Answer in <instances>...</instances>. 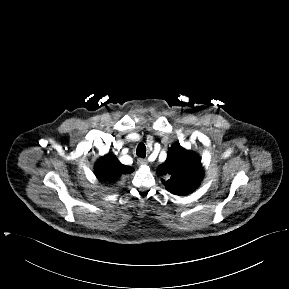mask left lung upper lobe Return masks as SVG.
Instances as JSON below:
<instances>
[{
  "label": "left lung upper lobe",
  "instance_id": "obj_1",
  "mask_svg": "<svg viewBox=\"0 0 289 289\" xmlns=\"http://www.w3.org/2000/svg\"><path fill=\"white\" fill-rule=\"evenodd\" d=\"M158 174L167 177L168 180L162 182L169 192L183 196L199 186L203 169L196 153L175 144L169 149L166 161L159 166Z\"/></svg>",
  "mask_w": 289,
  "mask_h": 289
}]
</instances>
